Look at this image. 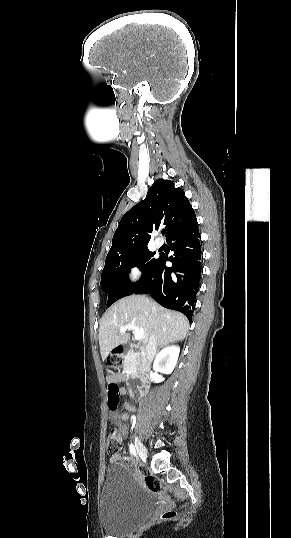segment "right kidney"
<instances>
[{
  "label": "right kidney",
  "mask_w": 291,
  "mask_h": 538,
  "mask_svg": "<svg viewBox=\"0 0 291 538\" xmlns=\"http://www.w3.org/2000/svg\"><path fill=\"white\" fill-rule=\"evenodd\" d=\"M180 348L177 345H171L164 348L156 357L153 368L155 371L170 374L176 366Z\"/></svg>",
  "instance_id": "ca27d5eb"
}]
</instances>
